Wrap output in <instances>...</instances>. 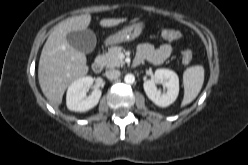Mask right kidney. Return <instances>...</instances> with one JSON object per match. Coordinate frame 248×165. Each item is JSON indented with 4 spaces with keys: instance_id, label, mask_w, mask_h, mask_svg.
I'll return each mask as SVG.
<instances>
[{
    "instance_id": "right-kidney-1",
    "label": "right kidney",
    "mask_w": 248,
    "mask_h": 165,
    "mask_svg": "<svg viewBox=\"0 0 248 165\" xmlns=\"http://www.w3.org/2000/svg\"><path fill=\"white\" fill-rule=\"evenodd\" d=\"M93 82L91 76H86L75 80L68 87L66 105L70 111L86 112L98 104L102 94L100 89H95L90 96H86Z\"/></svg>"
}]
</instances>
